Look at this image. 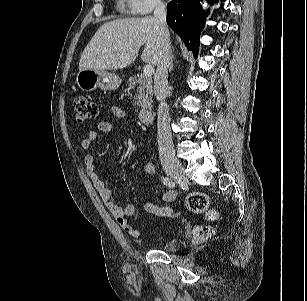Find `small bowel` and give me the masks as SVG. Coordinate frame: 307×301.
I'll list each match as a JSON object with an SVG mask.
<instances>
[{
    "mask_svg": "<svg viewBox=\"0 0 307 301\" xmlns=\"http://www.w3.org/2000/svg\"><path fill=\"white\" fill-rule=\"evenodd\" d=\"M111 111L112 114L117 118H126L128 116V114L123 109L118 107L112 108ZM112 130L113 125L110 121H100L97 124L96 130L88 131L86 137L81 141V148L84 151H89L92 148L96 139L98 138L99 134L107 135L110 134ZM84 165L86 173L91 179L95 189L99 193L107 209L115 218L121 229L134 237H139L140 232L130 224L128 219L129 217H132L136 214L135 205L132 203H128L124 207H122L115 201H113L110 188L105 184V182L101 179L100 175L96 171L94 158L92 155H85ZM143 169L149 174L154 173V167L149 162H146L144 164ZM176 197V192L172 190H167L162 194V200L167 203L173 202ZM144 208L148 214L156 217H176L178 215V212L174 208H161L156 206L152 201H146L144 204Z\"/></svg>",
    "mask_w": 307,
    "mask_h": 301,
    "instance_id": "1",
    "label": "small bowel"
}]
</instances>
